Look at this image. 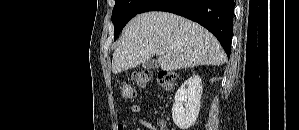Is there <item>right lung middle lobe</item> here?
Here are the masks:
<instances>
[{
    "instance_id": "1",
    "label": "right lung middle lobe",
    "mask_w": 299,
    "mask_h": 130,
    "mask_svg": "<svg viewBox=\"0 0 299 130\" xmlns=\"http://www.w3.org/2000/svg\"><path fill=\"white\" fill-rule=\"evenodd\" d=\"M149 0H115L112 12L114 24V40L122 31L123 27L131 20Z\"/></svg>"
}]
</instances>
